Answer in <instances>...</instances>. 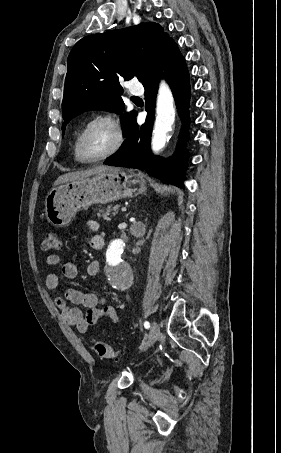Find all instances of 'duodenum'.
Masks as SVG:
<instances>
[{
	"label": "duodenum",
	"instance_id": "duodenum-1",
	"mask_svg": "<svg viewBox=\"0 0 281 453\" xmlns=\"http://www.w3.org/2000/svg\"><path fill=\"white\" fill-rule=\"evenodd\" d=\"M103 246H104V243H101V244H100V248H103Z\"/></svg>",
	"mask_w": 281,
	"mask_h": 453
}]
</instances>
